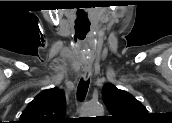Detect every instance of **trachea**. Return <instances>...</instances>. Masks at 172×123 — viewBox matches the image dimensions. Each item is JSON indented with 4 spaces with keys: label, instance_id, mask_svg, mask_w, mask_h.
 Instances as JSON below:
<instances>
[{
    "label": "trachea",
    "instance_id": "obj_1",
    "mask_svg": "<svg viewBox=\"0 0 172 123\" xmlns=\"http://www.w3.org/2000/svg\"><path fill=\"white\" fill-rule=\"evenodd\" d=\"M89 80L87 81H83L82 79L80 80L79 84H78V88H77V97L80 101H82L88 91V87H89Z\"/></svg>",
    "mask_w": 172,
    "mask_h": 123
}]
</instances>
